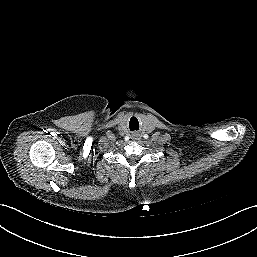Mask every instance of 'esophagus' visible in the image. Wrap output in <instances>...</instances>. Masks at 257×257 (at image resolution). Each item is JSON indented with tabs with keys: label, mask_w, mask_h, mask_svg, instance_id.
<instances>
[{
	"label": "esophagus",
	"mask_w": 257,
	"mask_h": 257,
	"mask_svg": "<svg viewBox=\"0 0 257 257\" xmlns=\"http://www.w3.org/2000/svg\"><path fill=\"white\" fill-rule=\"evenodd\" d=\"M136 137L135 139H137L139 137L138 134H133V138Z\"/></svg>",
	"instance_id": "esophagus-1"
}]
</instances>
